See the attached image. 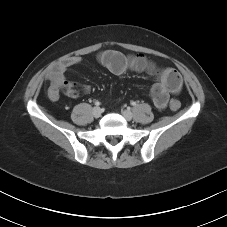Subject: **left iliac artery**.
<instances>
[{
    "instance_id": "left-iliac-artery-1",
    "label": "left iliac artery",
    "mask_w": 227,
    "mask_h": 227,
    "mask_svg": "<svg viewBox=\"0 0 227 227\" xmlns=\"http://www.w3.org/2000/svg\"><path fill=\"white\" fill-rule=\"evenodd\" d=\"M131 105L135 106L136 105V102L132 101L131 102Z\"/></svg>"
}]
</instances>
